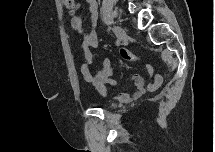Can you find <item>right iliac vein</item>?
<instances>
[{
	"label": "right iliac vein",
	"mask_w": 215,
	"mask_h": 152,
	"mask_svg": "<svg viewBox=\"0 0 215 152\" xmlns=\"http://www.w3.org/2000/svg\"><path fill=\"white\" fill-rule=\"evenodd\" d=\"M114 33L119 41H124L126 39V33L120 26H114Z\"/></svg>",
	"instance_id": "1"
}]
</instances>
